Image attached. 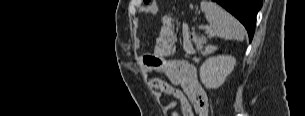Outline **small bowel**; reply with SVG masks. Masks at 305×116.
<instances>
[{
    "mask_svg": "<svg viewBox=\"0 0 305 116\" xmlns=\"http://www.w3.org/2000/svg\"><path fill=\"white\" fill-rule=\"evenodd\" d=\"M171 51V41L161 38L153 53L142 56V64L147 71L163 74L169 81L151 78V88L157 93L175 97L181 105L183 116H207L208 97L199 82L197 69L184 60L167 58ZM176 105V101H171L165 108L173 110ZM171 116L179 115L172 112Z\"/></svg>",
    "mask_w": 305,
    "mask_h": 116,
    "instance_id": "small-bowel-1",
    "label": "small bowel"
}]
</instances>
